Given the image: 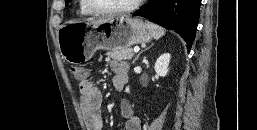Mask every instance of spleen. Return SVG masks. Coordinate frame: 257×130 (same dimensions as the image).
<instances>
[{"label": "spleen", "mask_w": 257, "mask_h": 130, "mask_svg": "<svg viewBox=\"0 0 257 130\" xmlns=\"http://www.w3.org/2000/svg\"><path fill=\"white\" fill-rule=\"evenodd\" d=\"M146 26H147L151 36L156 40H158L165 34V30L156 24H153L151 22H146Z\"/></svg>", "instance_id": "obj_1"}]
</instances>
